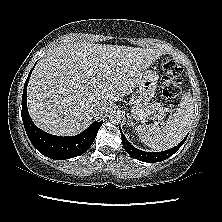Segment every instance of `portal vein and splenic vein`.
<instances>
[{
  "label": "portal vein and splenic vein",
  "mask_w": 222,
  "mask_h": 222,
  "mask_svg": "<svg viewBox=\"0 0 222 222\" xmlns=\"http://www.w3.org/2000/svg\"><path fill=\"white\" fill-rule=\"evenodd\" d=\"M164 111H166V112H172V110H168V109H164ZM138 115H140V116H143V117H145V114L144 113H141V112H139V111H137L136 112ZM164 117H161V116H157L156 117V119L157 120H161V119H163Z\"/></svg>",
  "instance_id": "obj_1"
}]
</instances>
